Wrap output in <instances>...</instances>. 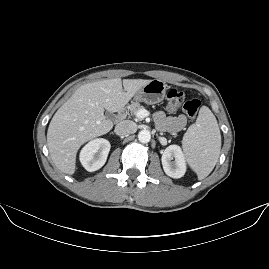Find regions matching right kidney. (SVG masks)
<instances>
[{"label":"right kidney","instance_id":"ca27d5eb","mask_svg":"<svg viewBox=\"0 0 269 269\" xmlns=\"http://www.w3.org/2000/svg\"><path fill=\"white\" fill-rule=\"evenodd\" d=\"M110 147V142L104 138L91 139L79 152L81 165L89 172L98 170L105 164Z\"/></svg>","mask_w":269,"mask_h":269}]
</instances>
